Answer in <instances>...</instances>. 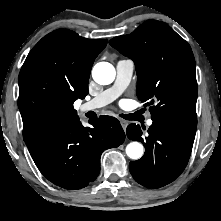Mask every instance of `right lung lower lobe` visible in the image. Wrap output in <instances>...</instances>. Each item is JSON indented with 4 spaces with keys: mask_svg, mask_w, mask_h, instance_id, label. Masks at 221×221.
Here are the masks:
<instances>
[{
    "mask_svg": "<svg viewBox=\"0 0 221 221\" xmlns=\"http://www.w3.org/2000/svg\"><path fill=\"white\" fill-rule=\"evenodd\" d=\"M84 127L78 116L56 118L25 140L40 172L55 185L75 190L94 181L105 149L125 140L120 122L111 116L90 120Z\"/></svg>",
    "mask_w": 221,
    "mask_h": 221,
    "instance_id": "98d812e1",
    "label": "right lung lower lobe"
}]
</instances>
